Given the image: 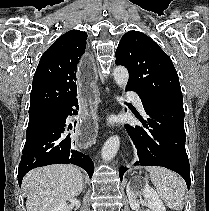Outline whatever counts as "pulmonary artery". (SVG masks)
<instances>
[{
  "label": "pulmonary artery",
  "instance_id": "e3ab8cb5",
  "mask_svg": "<svg viewBox=\"0 0 209 211\" xmlns=\"http://www.w3.org/2000/svg\"><path fill=\"white\" fill-rule=\"evenodd\" d=\"M126 95L128 98L132 99L135 102L138 109H140L141 111L144 110L142 100L137 93L133 91H128Z\"/></svg>",
  "mask_w": 209,
  "mask_h": 211
}]
</instances>
